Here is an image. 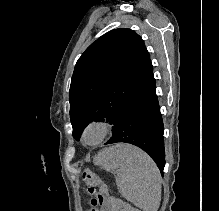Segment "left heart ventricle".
Wrapping results in <instances>:
<instances>
[{
  "instance_id": "1",
  "label": "left heart ventricle",
  "mask_w": 219,
  "mask_h": 211,
  "mask_svg": "<svg viewBox=\"0 0 219 211\" xmlns=\"http://www.w3.org/2000/svg\"><path fill=\"white\" fill-rule=\"evenodd\" d=\"M93 138V136L91 135V136H89V139H92Z\"/></svg>"
}]
</instances>
